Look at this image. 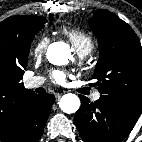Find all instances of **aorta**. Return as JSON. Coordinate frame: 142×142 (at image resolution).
Masks as SVG:
<instances>
[{
    "mask_svg": "<svg viewBox=\"0 0 142 142\" xmlns=\"http://www.w3.org/2000/svg\"><path fill=\"white\" fill-rule=\"evenodd\" d=\"M47 58L54 65H65L71 58L70 46L64 42H55L47 50ZM61 110L67 114L75 113L80 107L77 95L68 93L62 96L59 102Z\"/></svg>",
    "mask_w": 142,
    "mask_h": 142,
    "instance_id": "762f6f07",
    "label": "aorta"
}]
</instances>
